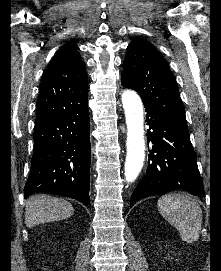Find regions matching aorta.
<instances>
[{"instance_id":"1","label":"aorta","mask_w":221,"mask_h":271,"mask_svg":"<svg viewBox=\"0 0 221 271\" xmlns=\"http://www.w3.org/2000/svg\"><path fill=\"white\" fill-rule=\"evenodd\" d=\"M127 126L125 179L133 182L138 177L145 159L143 104L139 95L133 90L122 94Z\"/></svg>"}]
</instances>
